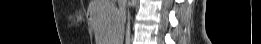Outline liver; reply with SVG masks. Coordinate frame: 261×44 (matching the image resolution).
I'll use <instances>...</instances> for the list:
<instances>
[{"instance_id":"obj_1","label":"liver","mask_w":261,"mask_h":44,"mask_svg":"<svg viewBox=\"0 0 261 44\" xmlns=\"http://www.w3.org/2000/svg\"><path fill=\"white\" fill-rule=\"evenodd\" d=\"M89 11L93 13V24H123L120 14H113L118 13V8L111 5V0H92ZM119 28V25H93V30H97V44H120V41H108L123 40L122 30Z\"/></svg>"}]
</instances>
